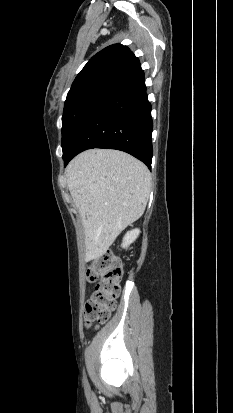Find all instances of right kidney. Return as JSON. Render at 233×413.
Instances as JSON below:
<instances>
[{
	"label": "right kidney",
	"instance_id": "1",
	"mask_svg": "<svg viewBox=\"0 0 233 413\" xmlns=\"http://www.w3.org/2000/svg\"><path fill=\"white\" fill-rule=\"evenodd\" d=\"M139 233V229H134L132 231L127 232L123 238V243L121 246L123 248H127L131 243H133L137 239Z\"/></svg>",
	"mask_w": 233,
	"mask_h": 413
}]
</instances>
